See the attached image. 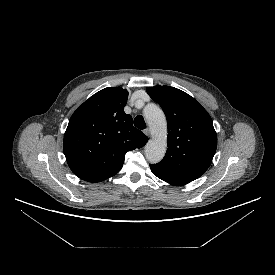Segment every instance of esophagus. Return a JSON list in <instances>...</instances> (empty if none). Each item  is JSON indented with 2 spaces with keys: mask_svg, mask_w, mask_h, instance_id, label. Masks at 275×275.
Returning <instances> with one entry per match:
<instances>
[{
  "mask_svg": "<svg viewBox=\"0 0 275 275\" xmlns=\"http://www.w3.org/2000/svg\"><path fill=\"white\" fill-rule=\"evenodd\" d=\"M144 134L147 135V136H150V130L147 128L144 130Z\"/></svg>",
  "mask_w": 275,
  "mask_h": 275,
  "instance_id": "esophagus-1",
  "label": "esophagus"
}]
</instances>
